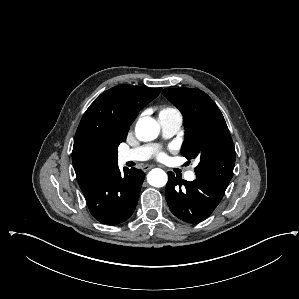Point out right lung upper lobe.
<instances>
[{
	"label": "right lung upper lobe",
	"instance_id": "cb5924a9",
	"mask_svg": "<svg viewBox=\"0 0 299 299\" xmlns=\"http://www.w3.org/2000/svg\"><path fill=\"white\" fill-rule=\"evenodd\" d=\"M161 88L132 85L113 87L86 110L76 131L72 162L81 190L94 181L104 162L117 164V148L124 142L138 112Z\"/></svg>",
	"mask_w": 299,
	"mask_h": 299
}]
</instances>
